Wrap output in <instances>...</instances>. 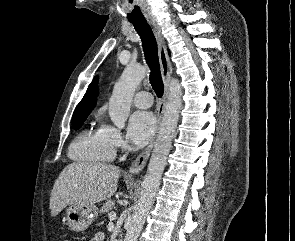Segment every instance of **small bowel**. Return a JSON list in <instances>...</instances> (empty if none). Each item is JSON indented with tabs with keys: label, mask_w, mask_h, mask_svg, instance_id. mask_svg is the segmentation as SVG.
Returning a JSON list of instances; mask_svg holds the SVG:
<instances>
[{
	"label": "small bowel",
	"mask_w": 295,
	"mask_h": 241,
	"mask_svg": "<svg viewBox=\"0 0 295 241\" xmlns=\"http://www.w3.org/2000/svg\"><path fill=\"white\" fill-rule=\"evenodd\" d=\"M103 238H104V235L102 232H96V233H94L91 241H102Z\"/></svg>",
	"instance_id": "small-bowel-1"
}]
</instances>
